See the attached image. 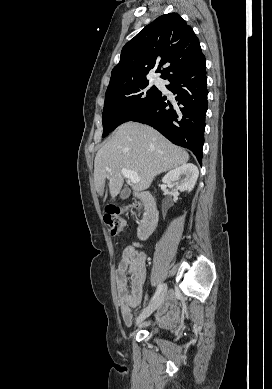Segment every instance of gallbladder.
<instances>
[{"label":"gallbladder","mask_w":272,"mask_h":389,"mask_svg":"<svg viewBox=\"0 0 272 389\" xmlns=\"http://www.w3.org/2000/svg\"><path fill=\"white\" fill-rule=\"evenodd\" d=\"M130 193H131L130 189L125 188L124 190H122L120 197L122 199H127L130 196Z\"/></svg>","instance_id":"gallbladder-1"}]
</instances>
